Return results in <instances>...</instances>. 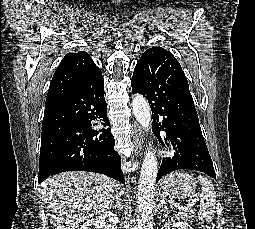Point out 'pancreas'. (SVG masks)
<instances>
[{
	"mask_svg": "<svg viewBox=\"0 0 255 229\" xmlns=\"http://www.w3.org/2000/svg\"><path fill=\"white\" fill-rule=\"evenodd\" d=\"M193 217H194L193 210H186V211L182 212V214L179 215V218L184 219L186 222L193 221Z\"/></svg>",
	"mask_w": 255,
	"mask_h": 229,
	"instance_id": "pancreas-1",
	"label": "pancreas"
}]
</instances>
